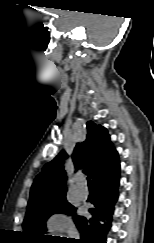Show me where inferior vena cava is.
I'll list each match as a JSON object with an SVG mask.
<instances>
[{"instance_id":"obj_1","label":"inferior vena cava","mask_w":154,"mask_h":243,"mask_svg":"<svg viewBox=\"0 0 154 243\" xmlns=\"http://www.w3.org/2000/svg\"><path fill=\"white\" fill-rule=\"evenodd\" d=\"M68 238L79 239V233L74 227H70L68 230Z\"/></svg>"}]
</instances>
